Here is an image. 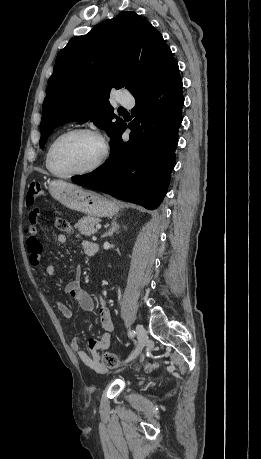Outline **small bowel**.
I'll return each instance as SVG.
<instances>
[{
  "instance_id": "small-bowel-1",
  "label": "small bowel",
  "mask_w": 261,
  "mask_h": 459,
  "mask_svg": "<svg viewBox=\"0 0 261 459\" xmlns=\"http://www.w3.org/2000/svg\"><path fill=\"white\" fill-rule=\"evenodd\" d=\"M56 241L59 244L66 242L65 234H58ZM27 248L30 254V263L34 266L38 265L43 257V246L37 234H29L27 239ZM81 248L84 254L91 256L93 255V243L82 240ZM55 271V265L50 264L46 268V276L50 277ZM82 270L81 267H76L74 272V278L69 281L64 288L66 294L73 298L82 310L91 312L94 308L92 298L82 289L80 284ZM101 307L98 311V317L100 325L103 329V333L98 338H91L88 341L89 353L81 348L80 339L78 337L71 341V348L76 352L78 358L88 367L94 370H102V364L100 361V351L107 350L111 345V332L114 329L113 321L111 318L110 311L106 306L105 300L100 297ZM56 308L59 313L66 319H73L74 313L69 306L60 300L55 302Z\"/></svg>"
}]
</instances>
